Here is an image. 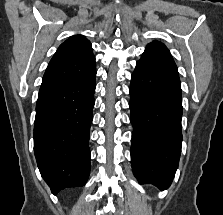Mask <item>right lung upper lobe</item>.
<instances>
[{"label":"right lung upper lobe","instance_id":"cb5924a9","mask_svg":"<svg viewBox=\"0 0 223 215\" xmlns=\"http://www.w3.org/2000/svg\"><path fill=\"white\" fill-rule=\"evenodd\" d=\"M94 68L95 57L91 43L82 35L72 36L59 46L52 57L40 89L80 79Z\"/></svg>","mask_w":223,"mask_h":215}]
</instances>
